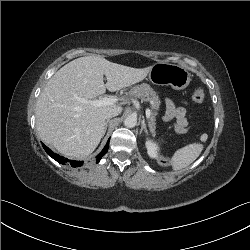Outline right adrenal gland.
Listing matches in <instances>:
<instances>
[{"label":"right adrenal gland","mask_w":250,"mask_h":250,"mask_svg":"<svg viewBox=\"0 0 250 250\" xmlns=\"http://www.w3.org/2000/svg\"><path fill=\"white\" fill-rule=\"evenodd\" d=\"M109 121H110V119H108L107 121H106V123H105V131H104V133L106 132V130H107V127H108V123H109Z\"/></svg>","instance_id":"right-adrenal-gland-1"}]
</instances>
